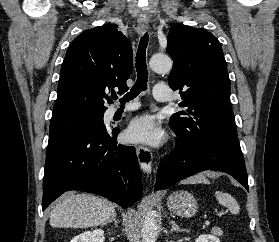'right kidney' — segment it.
<instances>
[{"instance_id":"right-kidney-1","label":"right kidney","mask_w":279,"mask_h":242,"mask_svg":"<svg viewBox=\"0 0 279 242\" xmlns=\"http://www.w3.org/2000/svg\"><path fill=\"white\" fill-rule=\"evenodd\" d=\"M104 240V231L102 229H94L75 236L70 242H104Z\"/></svg>"}]
</instances>
